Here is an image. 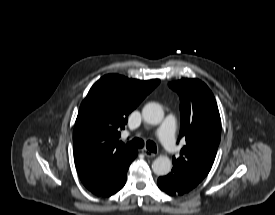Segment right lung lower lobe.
<instances>
[{
    "mask_svg": "<svg viewBox=\"0 0 275 215\" xmlns=\"http://www.w3.org/2000/svg\"><path fill=\"white\" fill-rule=\"evenodd\" d=\"M136 156L137 151L121 161L100 165L80 177L81 182L97 196H111L125 185L127 170Z\"/></svg>",
    "mask_w": 275,
    "mask_h": 215,
    "instance_id": "98d812e1",
    "label": "right lung lower lobe"
}]
</instances>
